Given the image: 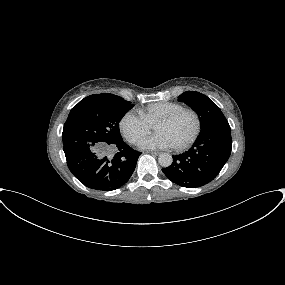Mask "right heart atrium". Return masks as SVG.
Here are the masks:
<instances>
[{
	"instance_id": "obj_1",
	"label": "right heart atrium",
	"mask_w": 285,
	"mask_h": 285,
	"mask_svg": "<svg viewBox=\"0 0 285 285\" xmlns=\"http://www.w3.org/2000/svg\"><path fill=\"white\" fill-rule=\"evenodd\" d=\"M152 126L139 114L128 111L120 120V130L123 136L132 144H136L147 135Z\"/></svg>"
}]
</instances>
